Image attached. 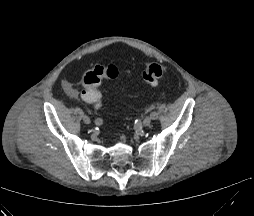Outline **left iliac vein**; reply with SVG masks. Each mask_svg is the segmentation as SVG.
Returning <instances> with one entry per match:
<instances>
[{
	"instance_id": "obj_1",
	"label": "left iliac vein",
	"mask_w": 254,
	"mask_h": 216,
	"mask_svg": "<svg viewBox=\"0 0 254 216\" xmlns=\"http://www.w3.org/2000/svg\"><path fill=\"white\" fill-rule=\"evenodd\" d=\"M142 123L144 126H149L151 124V117L144 118Z\"/></svg>"
}]
</instances>
